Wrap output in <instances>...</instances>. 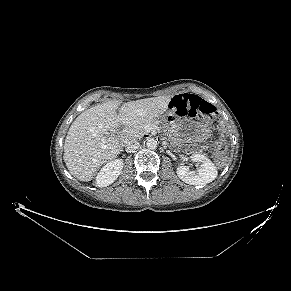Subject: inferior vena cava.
<instances>
[{
    "instance_id": "1",
    "label": "inferior vena cava",
    "mask_w": 291,
    "mask_h": 291,
    "mask_svg": "<svg viewBox=\"0 0 291 291\" xmlns=\"http://www.w3.org/2000/svg\"><path fill=\"white\" fill-rule=\"evenodd\" d=\"M139 148V143L136 139H130L125 146V150L128 153L134 152L136 149Z\"/></svg>"
}]
</instances>
